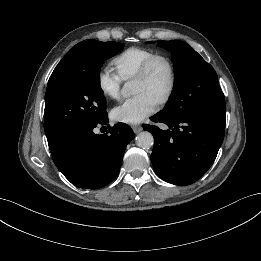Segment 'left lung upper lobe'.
<instances>
[{"instance_id": "left-lung-upper-lobe-1", "label": "left lung upper lobe", "mask_w": 261, "mask_h": 261, "mask_svg": "<svg viewBox=\"0 0 261 261\" xmlns=\"http://www.w3.org/2000/svg\"><path fill=\"white\" fill-rule=\"evenodd\" d=\"M158 45L171 52L175 68L174 91L159 113L180 118L226 108L217 74L199 53L182 41L159 40Z\"/></svg>"}]
</instances>
